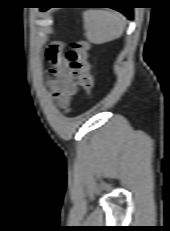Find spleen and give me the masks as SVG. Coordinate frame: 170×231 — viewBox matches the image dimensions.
Segmentation results:
<instances>
[{"instance_id":"3e777b00","label":"spleen","mask_w":170,"mask_h":231,"mask_svg":"<svg viewBox=\"0 0 170 231\" xmlns=\"http://www.w3.org/2000/svg\"><path fill=\"white\" fill-rule=\"evenodd\" d=\"M84 29L89 42L103 44L120 37L125 18L117 12L90 10L84 13Z\"/></svg>"}]
</instances>
